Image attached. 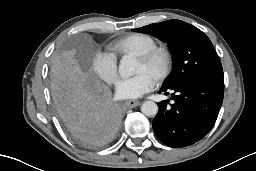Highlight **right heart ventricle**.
Returning a JSON list of instances; mask_svg holds the SVG:
<instances>
[{
  "label": "right heart ventricle",
  "instance_id": "e07e8e85",
  "mask_svg": "<svg viewBox=\"0 0 256 171\" xmlns=\"http://www.w3.org/2000/svg\"><path fill=\"white\" fill-rule=\"evenodd\" d=\"M157 41L150 35L132 33L112 42L109 48L120 55H139L157 47Z\"/></svg>",
  "mask_w": 256,
  "mask_h": 171
}]
</instances>
